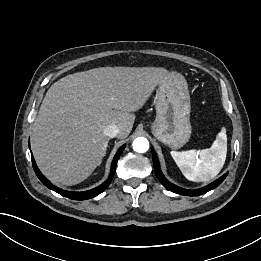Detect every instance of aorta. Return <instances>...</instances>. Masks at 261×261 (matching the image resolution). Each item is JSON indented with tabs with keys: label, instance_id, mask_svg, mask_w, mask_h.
I'll return each mask as SVG.
<instances>
[{
	"label": "aorta",
	"instance_id": "obj_1",
	"mask_svg": "<svg viewBox=\"0 0 261 261\" xmlns=\"http://www.w3.org/2000/svg\"><path fill=\"white\" fill-rule=\"evenodd\" d=\"M133 149L138 153H145L149 149V141L145 137H138L133 141Z\"/></svg>",
	"mask_w": 261,
	"mask_h": 261
}]
</instances>
